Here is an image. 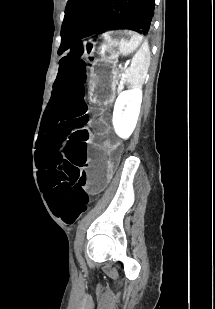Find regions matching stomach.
<instances>
[{
    "mask_svg": "<svg viewBox=\"0 0 215 309\" xmlns=\"http://www.w3.org/2000/svg\"><path fill=\"white\" fill-rule=\"evenodd\" d=\"M101 40L100 58L93 63L88 78L90 96L96 101L108 100L113 95L118 79V58L137 51L143 37L132 30L117 29L103 34Z\"/></svg>",
    "mask_w": 215,
    "mask_h": 309,
    "instance_id": "obj_1",
    "label": "stomach"
}]
</instances>
